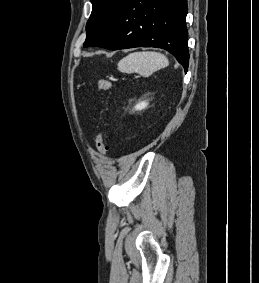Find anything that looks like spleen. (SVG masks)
<instances>
[{"label": "spleen", "mask_w": 259, "mask_h": 283, "mask_svg": "<svg viewBox=\"0 0 259 283\" xmlns=\"http://www.w3.org/2000/svg\"><path fill=\"white\" fill-rule=\"evenodd\" d=\"M169 64L165 55L154 51L134 52L118 63V69L122 73H139L143 76H150L155 71L167 67Z\"/></svg>", "instance_id": "1"}]
</instances>
